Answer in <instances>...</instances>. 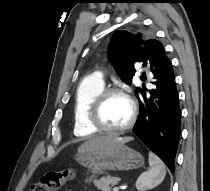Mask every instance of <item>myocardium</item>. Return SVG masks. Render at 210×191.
<instances>
[{"mask_svg":"<svg viewBox=\"0 0 210 191\" xmlns=\"http://www.w3.org/2000/svg\"><path fill=\"white\" fill-rule=\"evenodd\" d=\"M112 95H121L125 97L131 107V115L129 121L121 127L118 128H110L107 127L102 118H101V110L102 107L107 100L108 97ZM88 123L96 130L109 133V134H119L122 132H125L129 129H131L137 119V104L135 100L127 94L123 89L118 88V87H109V88H104L92 101L88 115H87Z\"/></svg>","mask_w":210,"mask_h":191,"instance_id":"f54148a6","label":"myocardium"}]
</instances>
